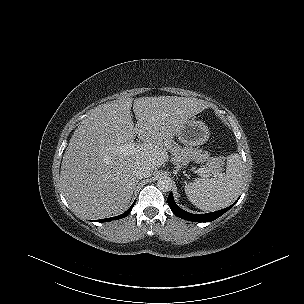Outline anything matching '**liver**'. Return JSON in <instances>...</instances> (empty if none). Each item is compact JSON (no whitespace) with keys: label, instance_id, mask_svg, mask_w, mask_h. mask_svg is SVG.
<instances>
[{"label":"liver","instance_id":"6515ba94","mask_svg":"<svg viewBox=\"0 0 304 304\" xmlns=\"http://www.w3.org/2000/svg\"><path fill=\"white\" fill-rule=\"evenodd\" d=\"M206 107L200 99L155 96L123 98L90 110L75 129L61 164L62 191L73 211L91 219L122 213L137 185L135 168L161 167L180 127ZM136 136L142 144L122 153L119 147L133 143Z\"/></svg>","mask_w":304,"mask_h":304}]
</instances>
